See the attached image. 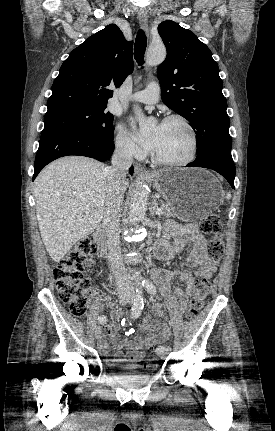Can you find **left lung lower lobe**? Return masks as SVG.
Wrapping results in <instances>:
<instances>
[{
    "instance_id": "left-lung-lower-lobe-1",
    "label": "left lung lower lobe",
    "mask_w": 275,
    "mask_h": 431,
    "mask_svg": "<svg viewBox=\"0 0 275 431\" xmlns=\"http://www.w3.org/2000/svg\"><path fill=\"white\" fill-rule=\"evenodd\" d=\"M187 167H203L215 170L226 178L232 188L234 187L235 165L230 151L213 152L198 157Z\"/></svg>"
}]
</instances>
